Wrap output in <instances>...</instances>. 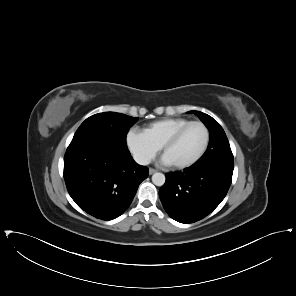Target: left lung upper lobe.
I'll return each instance as SVG.
<instances>
[{"mask_svg":"<svg viewBox=\"0 0 296 296\" xmlns=\"http://www.w3.org/2000/svg\"><path fill=\"white\" fill-rule=\"evenodd\" d=\"M191 112L196 114L202 120L210 132L208 149L197 163L200 165H209L223 160L233 161V154L228 139L220 124L205 113L199 111Z\"/></svg>","mask_w":296,"mask_h":296,"instance_id":"obj_1","label":"left lung upper lobe"}]
</instances>
